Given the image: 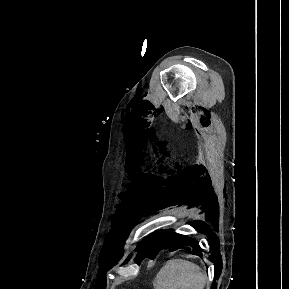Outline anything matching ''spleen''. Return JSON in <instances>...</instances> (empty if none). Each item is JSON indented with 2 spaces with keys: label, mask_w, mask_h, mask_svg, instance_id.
Here are the masks:
<instances>
[{
  "label": "spleen",
  "mask_w": 289,
  "mask_h": 289,
  "mask_svg": "<svg viewBox=\"0 0 289 289\" xmlns=\"http://www.w3.org/2000/svg\"><path fill=\"white\" fill-rule=\"evenodd\" d=\"M206 275L200 266L183 259L169 260L158 272L154 289H204Z\"/></svg>",
  "instance_id": "3e777b00"
}]
</instances>
